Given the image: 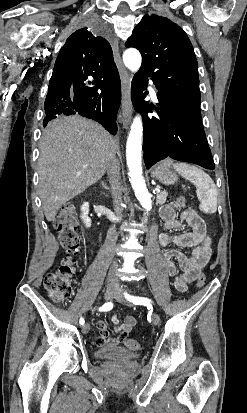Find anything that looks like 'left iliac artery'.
<instances>
[{
	"label": "left iliac artery",
	"mask_w": 247,
	"mask_h": 413,
	"mask_svg": "<svg viewBox=\"0 0 247 413\" xmlns=\"http://www.w3.org/2000/svg\"><path fill=\"white\" fill-rule=\"evenodd\" d=\"M125 298L130 301L133 302L135 305H144V306H149L150 303H152V301L148 298H144V297H136V296H131L127 293H124Z\"/></svg>",
	"instance_id": "44dca946"
}]
</instances>
